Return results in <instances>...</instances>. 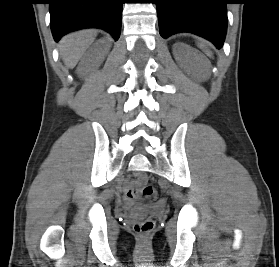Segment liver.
<instances>
[{
  "label": "liver",
  "mask_w": 279,
  "mask_h": 267,
  "mask_svg": "<svg viewBox=\"0 0 279 267\" xmlns=\"http://www.w3.org/2000/svg\"><path fill=\"white\" fill-rule=\"evenodd\" d=\"M95 30H82L63 37L59 44L60 55L69 68H74L85 51L94 42Z\"/></svg>",
  "instance_id": "6515ba94"
}]
</instances>
